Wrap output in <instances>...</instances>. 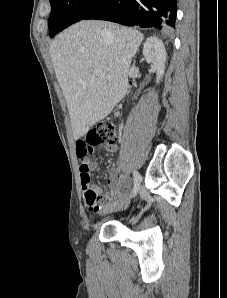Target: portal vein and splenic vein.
<instances>
[{
	"label": "portal vein and splenic vein",
	"mask_w": 227,
	"mask_h": 298,
	"mask_svg": "<svg viewBox=\"0 0 227 298\" xmlns=\"http://www.w3.org/2000/svg\"><path fill=\"white\" fill-rule=\"evenodd\" d=\"M102 74V71L100 70V69H95V70H93V75L94 76H99V75H101ZM108 79H111L112 78V76L111 75H107L106 76Z\"/></svg>",
	"instance_id": "1"
}]
</instances>
